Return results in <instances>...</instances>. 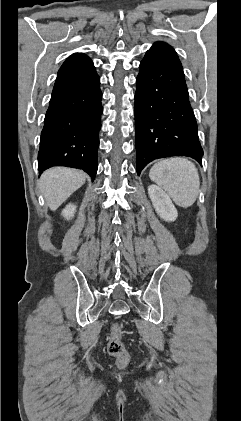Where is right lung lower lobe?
Here are the masks:
<instances>
[{
  "mask_svg": "<svg viewBox=\"0 0 241 421\" xmlns=\"http://www.w3.org/2000/svg\"><path fill=\"white\" fill-rule=\"evenodd\" d=\"M100 78L92 61L79 57L58 71L44 119L39 173L52 166L83 169L94 180L101 128Z\"/></svg>",
  "mask_w": 241,
  "mask_h": 421,
  "instance_id": "right-lung-lower-lobe-1",
  "label": "right lung lower lobe"
}]
</instances>
